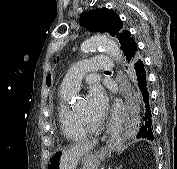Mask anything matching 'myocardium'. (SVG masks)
Segmentation results:
<instances>
[{
	"label": "myocardium",
	"instance_id": "f54148a6",
	"mask_svg": "<svg viewBox=\"0 0 177 169\" xmlns=\"http://www.w3.org/2000/svg\"><path fill=\"white\" fill-rule=\"evenodd\" d=\"M72 111L80 129L88 134L99 131L104 126L107 119V116L104 114L99 122L91 123L88 122L82 115H80L75 108H73Z\"/></svg>",
	"mask_w": 177,
	"mask_h": 169
}]
</instances>
